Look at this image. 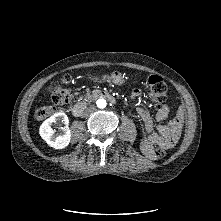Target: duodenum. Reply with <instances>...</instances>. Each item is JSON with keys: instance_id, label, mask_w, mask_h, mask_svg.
<instances>
[{"instance_id": "1", "label": "duodenum", "mask_w": 221, "mask_h": 221, "mask_svg": "<svg viewBox=\"0 0 221 221\" xmlns=\"http://www.w3.org/2000/svg\"><path fill=\"white\" fill-rule=\"evenodd\" d=\"M100 98L106 99L113 104L116 103L115 97L111 95L110 93L105 92V91H95V92H92L85 100L78 102L72 107V110H71L72 115L75 117L80 116L83 113L87 104Z\"/></svg>"}]
</instances>
